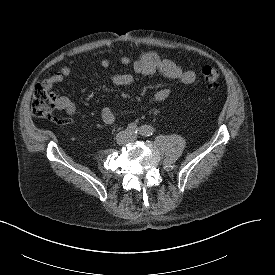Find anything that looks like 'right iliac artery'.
<instances>
[{
	"label": "right iliac artery",
	"mask_w": 275,
	"mask_h": 275,
	"mask_svg": "<svg viewBox=\"0 0 275 275\" xmlns=\"http://www.w3.org/2000/svg\"><path fill=\"white\" fill-rule=\"evenodd\" d=\"M127 130H128L129 133H131V134H137V132H138L139 129H138V127H137L136 124L131 123V124L128 125Z\"/></svg>",
	"instance_id": "right-iliac-artery-1"
}]
</instances>
